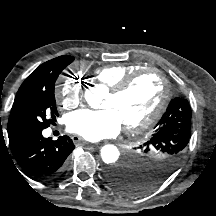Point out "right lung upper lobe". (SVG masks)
<instances>
[{
	"instance_id": "obj_1",
	"label": "right lung upper lobe",
	"mask_w": 216,
	"mask_h": 216,
	"mask_svg": "<svg viewBox=\"0 0 216 216\" xmlns=\"http://www.w3.org/2000/svg\"><path fill=\"white\" fill-rule=\"evenodd\" d=\"M74 57L72 56H60L57 58H54L52 60H49L43 64H41L38 68H36L28 77L27 79L22 83L21 87L19 88L16 97H15V101L13 104L12 109L15 108V105L21 100V98L23 97L25 91L33 86L34 84H37L40 81L45 80L47 77H49L51 75V73L54 70V66L57 62L64 60V59H70Z\"/></svg>"
}]
</instances>
